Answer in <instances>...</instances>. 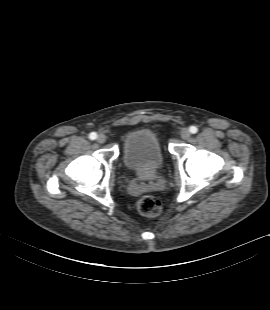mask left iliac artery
<instances>
[{"label":"left iliac artery","instance_id":"left-iliac-artery-1","mask_svg":"<svg viewBox=\"0 0 270 310\" xmlns=\"http://www.w3.org/2000/svg\"><path fill=\"white\" fill-rule=\"evenodd\" d=\"M189 130H190V132H191L192 134H195V133H197V131H198L197 127H195V126H191Z\"/></svg>","mask_w":270,"mask_h":310}]
</instances>
